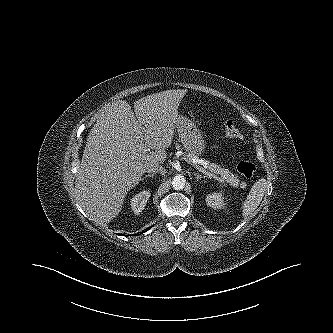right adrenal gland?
<instances>
[{"label": "right adrenal gland", "instance_id": "right-adrenal-gland-1", "mask_svg": "<svg viewBox=\"0 0 333 333\" xmlns=\"http://www.w3.org/2000/svg\"><path fill=\"white\" fill-rule=\"evenodd\" d=\"M155 175L154 174H148L146 175L144 178L141 179L142 182H144V180L146 181L147 178H153Z\"/></svg>", "mask_w": 333, "mask_h": 333}]
</instances>
